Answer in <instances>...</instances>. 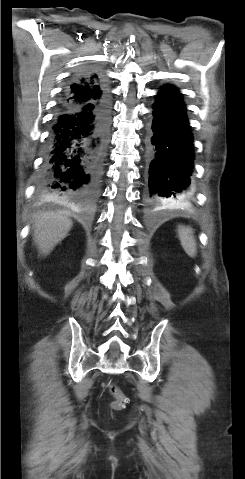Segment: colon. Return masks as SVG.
Wrapping results in <instances>:
<instances>
[{"label": "colon", "instance_id": "1", "mask_svg": "<svg viewBox=\"0 0 245 479\" xmlns=\"http://www.w3.org/2000/svg\"><path fill=\"white\" fill-rule=\"evenodd\" d=\"M107 388L109 389L110 393L114 396V402L112 403V407L114 409H122L127 403V398L125 397V395L120 391V389L115 384L111 382L107 384Z\"/></svg>", "mask_w": 245, "mask_h": 479}]
</instances>
